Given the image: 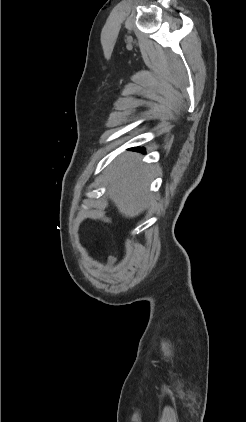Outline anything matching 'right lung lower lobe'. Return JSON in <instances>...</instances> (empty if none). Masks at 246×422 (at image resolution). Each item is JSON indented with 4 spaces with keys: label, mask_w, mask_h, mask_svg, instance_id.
<instances>
[{
    "label": "right lung lower lobe",
    "mask_w": 246,
    "mask_h": 422,
    "mask_svg": "<svg viewBox=\"0 0 246 422\" xmlns=\"http://www.w3.org/2000/svg\"><path fill=\"white\" fill-rule=\"evenodd\" d=\"M136 150H138V151H142V150H143V148H136Z\"/></svg>",
    "instance_id": "98d812e1"
}]
</instances>
